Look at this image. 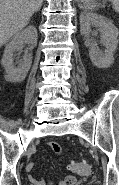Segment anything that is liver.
<instances>
[{
    "instance_id": "6515ba94",
    "label": "liver",
    "mask_w": 119,
    "mask_h": 185,
    "mask_svg": "<svg viewBox=\"0 0 119 185\" xmlns=\"http://www.w3.org/2000/svg\"><path fill=\"white\" fill-rule=\"evenodd\" d=\"M43 0H0V47L27 26Z\"/></svg>"
}]
</instances>
